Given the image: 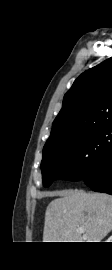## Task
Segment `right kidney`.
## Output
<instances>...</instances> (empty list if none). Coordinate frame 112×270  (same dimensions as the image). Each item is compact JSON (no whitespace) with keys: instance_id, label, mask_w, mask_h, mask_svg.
Listing matches in <instances>:
<instances>
[{"instance_id":"right-kidney-1","label":"right kidney","mask_w":112,"mask_h":270,"mask_svg":"<svg viewBox=\"0 0 112 270\" xmlns=\"http://www.w3.org/2000/svg\"><path fill=\"white\" fill-rule=\"evenodd\" d=\"M106 242H112V236H110Z\"/></svg>"}]
</instances>
